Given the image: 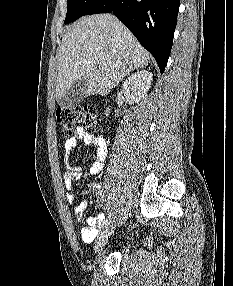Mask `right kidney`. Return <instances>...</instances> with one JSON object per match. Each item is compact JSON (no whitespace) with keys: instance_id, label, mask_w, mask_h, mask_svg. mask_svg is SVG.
Segmentation results:
<instances>
[{"instance_id":"ca27d5eb","label":"right kidney","mask_w":233,"mask_h":286,"mask_svg":"<svg viewBox=\"0 0 233 286\" xmlns=\"http://www.w3.org/2000/svg\"><path fill=\"white\" fill-rule=\"evenodd\" d=\"M152 73L146 70L138 71L128 77L122 85V92L129 104L138 103L145 97L151 87Z\"/></svg>"}]
</instances>
